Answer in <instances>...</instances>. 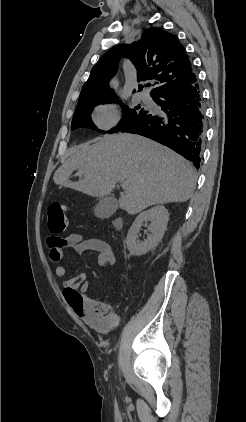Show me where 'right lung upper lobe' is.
<instances>
[{"mask_svg": "<svg viewBox=\"0 0 246 422\" xmlns=\"http://www.w3.org/2000/svg\"><path fill=\"white\" fill-rule=\"evenodd\" d=\"M122 57L131 60L137 70V80H156L152 98L176 86L196 82L193 66L178 38L160 28H149L142 39L130 46L124 44L111 48L94 65L82 87L77 107L87 103L117 97L108 82L116 73ZM143 85H139V91Z\"/></svg>", "mask_w": 246, "mask_h": 422, "instance_id": "cb5924a9", "label": "right lung upper lobe"}]
</instances>
